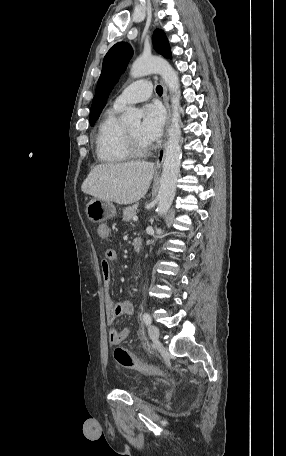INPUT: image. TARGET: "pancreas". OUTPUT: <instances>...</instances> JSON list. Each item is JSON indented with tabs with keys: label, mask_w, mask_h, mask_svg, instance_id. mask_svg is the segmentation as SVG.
<instances>
[{
	"label": "pancreas",
	"mask_w": 286,
	"mask_h": 456,
	"mask_svg": "<svg viewBox=\"0 0 286 456\" xmlns=\"http://www.w3.org/2000/svg\"><path fill=\"white\" fill-rule=\"evenodd\" d=\"M137 207L129 206L123 210V221L130 222L133 216L136 215Z\"/></svg>",
	"instance_id": "pancreas-1"
}]
</instances>
